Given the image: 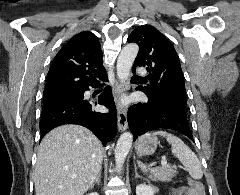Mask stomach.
<instances>
[{
    "mask_svg": "<svg viewBox=\"0 0 240 195\" xmlns=\"http://www.w3.org/2000/svg\"><path fill=\"white\" fill-rule=\"evenodd\" d=\"M158 137L156 135H148L136 141L135 149L138 155H152L155 153L158 145Z\"/></svg>",
    "mask_w": 240,
    "mask_h": 195,
    "instance_id": "stomach-1",
    "label": "stomach"
}]
</instances>
